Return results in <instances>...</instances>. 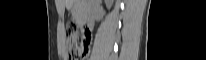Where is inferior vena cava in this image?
Instances as JSON below:
<instances>
[{"label":"inferior vena cava","instance_id":"1","mask_svg":"<svg viewBox=\"0 0 206 60\" xmlns=\"http://www.w3.org/2000/svg\"><path fill=\"white\" fill-rule=\"evenodd\" d=\"M91 19L93 20V16L91 15Z\"/></svg>","mask_w":206,"mask_h":60}]
</instances>
